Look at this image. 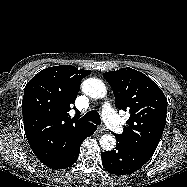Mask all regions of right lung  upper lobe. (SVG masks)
Returning <instances> with one entry per match:
<instances>
[{"label": "right lung upper lobe", "mask_w": 187, "mask_h": 187, "mask_svg": "<svg viewBox=\"0 0 187 187\" xmlns=\"http://www.w3.org/2000/svg\"><path fill=\"white\" fill-rule=\"evenodd\" d=\"M91 73L72 65L43 69L26 85L22 101L24 129L31 149L45 165L66 156L72 139L96 126L69 111L81 80Z\"/></svg>", "instance_id": "cb5924a9"}]
</instances>
